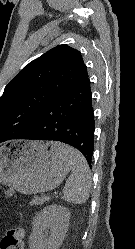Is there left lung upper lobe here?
<instances>
[{
    "label": "left lung upper lobe",
    "mask_w": 135,
    "mask_h": 249,
    "mask_svg": "<svg viewBox=\"0 0 135 249\" xmlns=\"http://www.w3.org/2000/svg\"><path fill=\"white\" fill-rule=\"evenodd\" d=\"M87 78L81 53L66 44L29 63L0 98V143L29 132L43 108Z\"/></svg>",
    "instance_id": "obj_1"
}]
</instances>
